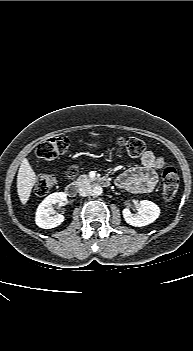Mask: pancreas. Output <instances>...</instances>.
Returning a JSON list of instances; mask_svg holds the SVG:
<instances>
[{"mask_svg":"<svg viewBox=\"0 0 193 351\" xmlns=\"http://www.w3.org/2000/svg\"><path fill=\"white\" fill-rule=\"evenodd\" d=\"M91 181H93L91 178H89L87 175H81V176H79L78 178H77V181H76V183L78 184V185H80V184H83V183H89V182H91Z\"/></svg>","mask_w":193,"mask_h":351,"instance_id":"pancreas-1","label":"pancreas"}]
</instances>
